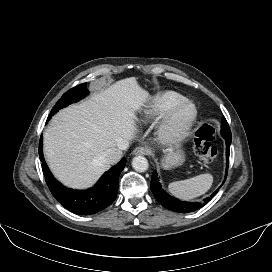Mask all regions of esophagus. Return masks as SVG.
<instances>
[{"mask_svg": "<svg viewBox=\"0 0 272 272\" xmlns=\"http://www.w3.org/2000/svg\"><path fill=\"white\" fill-rule=\"evenodd\" d=\"M147 153H148V149L146 147H143V146L136 147L133 150L134 155H146Z\"/></svg>", "mask_w": 272, "mask_h": 272, "instance_id": "obj_1", "label": "esophagus"}]
</instances>
